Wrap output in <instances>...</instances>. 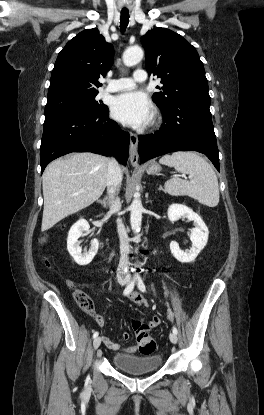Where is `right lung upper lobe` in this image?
Listing matches in <instances>:
<instances>
[{
	"mask_svg": "<svg viewBox=\"0 0 264 415\" xmlns=\"http://www.w3.org/2000/svg\"><path fill=\"white\" fill-rule=\"evenodd\" d=\"M113 47L96 28L86 29L60 51L52 70L48 97L67 92H98L113 63ZM47 97V98H48Z\"/></svg>",
	"mask_w": 264,
	"mask_h": 415,
	"instance_id": "right-lung-upper-lobe-1",
	"label": "right lung upper lobe"
}]
</instances>
